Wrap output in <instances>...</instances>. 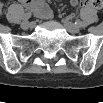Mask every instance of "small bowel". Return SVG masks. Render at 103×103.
I'll return each instance as SVG.
<instances>
[{
  "mask_svg": "<svg viewBox=\"0 0 103 103\" xmlns=\"http://www.w3.org/2000/svg\"><path fill=\"white\" fill-rule=\"evenodd\" d=\"M71 3L73 5L77 4L76 0H72ZM22 5L29 9L33 10L38 16L43 18H50L52 16V12L47 3L41 0H22Z\"/></svg>",
  "mask_w": 103,
  "mask_h": 103,
  "instance_id": "c3829d8e",
  "label": "small bowel"
}]
</instances>
